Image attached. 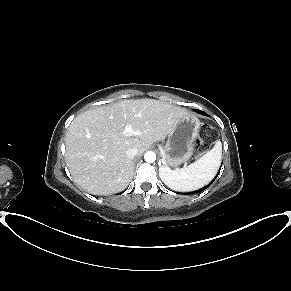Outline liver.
<instances>
[{"label":"liver","instance_id":"6515ba94","mask_svg":"<svg viewBox=\"0 0 291 291\" xmlns=\"http://www.w3.org/2000/svg\"><path fill=\"white\" fill-rule=\"evenodd\" d=\"M188 115L184 108L154 99L122 100L85 111L66 132L65 156L71 176L91 194L124 190L134 174V164L126 151L134 147L143 154ZM127 124L136 135L125 133Z\"/></svg>","mask_w":291,"mask_h":291}]
</instances>
